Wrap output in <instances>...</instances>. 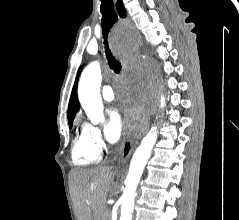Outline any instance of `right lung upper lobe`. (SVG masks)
<instances>
[{
	"mask_svg": "<svg viewBox=\"0 0 239 220\" xmlns=\"http://www.w3.org/2000/svg\"><path fill=\"white\" fill-rule=\"evenodd\" d=\"M81 70H82V67H80L77 72V76H76L74 86L72 89L69 106H68V121L74 119L75 114L79 108V103H78V98H77V85H78V79H79Z\"/></svg>",
	"mask_w": 239,
	"mask_h": 220,
	"instance_id": "obj_1",
	"label": "right lung upper lobe"
}]
</instances>
